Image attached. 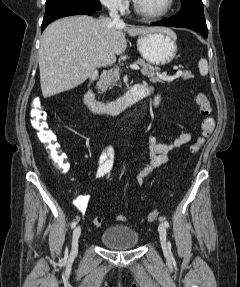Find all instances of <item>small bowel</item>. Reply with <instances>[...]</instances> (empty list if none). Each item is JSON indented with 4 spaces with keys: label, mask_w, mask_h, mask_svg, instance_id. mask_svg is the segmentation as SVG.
I'll list each match as a JSON object with an SVG mask.
<instances>
[{
    "label": "small bowel",
    "mask_w": 240,
    "mask_h": 287,
    "mask_svg": "<svg viewBox=\"0 0 240 287\" xmlns=\"http://www.w3.org/2000/svg\"><path fill=\"white\" fill-rule=\"evenodd\" d=\"M147 95L152 92L151 87L142 85ZM161 102V97L157 95L154 100L155 106ZM191 140V133H182L170 142H159L153 136L149 137L148 148L149 158L144 168L137 174L135 180L142 184L144 179L156 168L166 164L173 152L187 144ZM115 163V154L111 146H106L99 154L97 159L96 176L98 178H107L111 175ZM89 203L88 195H80L74 200V204L80 212L87 209Z\"/></svg>",
    "instance_id": "1"
}]
</instances>
